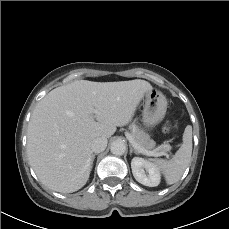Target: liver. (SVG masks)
<instances>
[{
    "label": "liver",
    "mask_w": 229,
    "mask_h": 229,
    "mask_svg": "<svg viewBox=\"0 0 229 229\" xmlns=\"http://www.w3.org/2000/svg\"><path fill=\"white\" fill-rule=\"evenodd\" d=\"M152 89L140 79L77 80L50 91L28 124L27 154L39 180L61 193L82 188L92 169L91 142L110 138L116 127L128 124Z\"/></svg>",
    "instance_id": "obj_1"
}]
</instances>
